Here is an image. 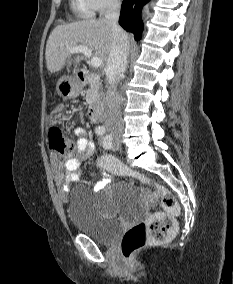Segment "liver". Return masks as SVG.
Instances as JSON below:
<instances>
[{
  "label": "liver",
  "mask_w": 233,
  "mask_h": 284,
  "mask_svg": "<svg viewBox=\"0 0 233 284\" xmlns=\"http://www.w3.org/2000/svg\"><path fill=\"white\" fill-rule=\"evenodd\" d=\"M112 26L103 19H88L58 25L50 34L45 51L48 71L53 74L61 71L71 61L70 49L83 45L94 52L95 57L107 63L112 49ZM82 57H74L77 67Z\"/></svg>",
  "instance_id": "6515ba94"
}]
</instances>
